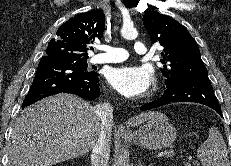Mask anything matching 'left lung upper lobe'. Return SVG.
Returning <instances> with one entry per match:
<instances>
[{
  "instance_id": "1",
  "label": "left lung upper lobe",
  "mask_w": 231,
  "mask_h": 166,
  "mask_svg": "<svg viewBox=\"0 0 231 166\" xmlns=\"http://www.w3.org/2000/svg\"><path fill=\"white\" fill-rule=\"evenodd\" d=\"M143 25L151 43H160L166 87L182 81L210 82L196 41L188 30L173 18L154 11L143 16Z\"/></svg>"
}]
</instances>
